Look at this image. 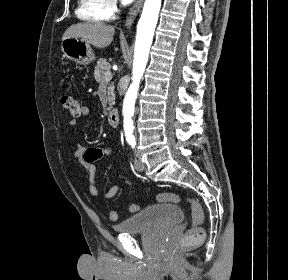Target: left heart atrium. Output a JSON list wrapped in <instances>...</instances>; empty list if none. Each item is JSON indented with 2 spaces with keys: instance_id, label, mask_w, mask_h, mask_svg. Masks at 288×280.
Returning <instances> with one entry per match:
<instances>
[{
  "instance_id": "obj_1",
  "label": "left heart atrium",
  "mask_w": 288,
  "mask_h": 280,
  "mask_svg": "<svg viewBox=\"0 0 288 280\" xmlns=\"http://www.w3.org/2000/svg\"><path fill=\"white\" fill-rule=\"evenodd\" d=\"M133 0H121V2L123 3V4H129L130 2H132Z\"/></svg>"
}]
</instances>
